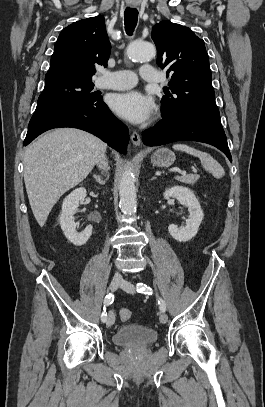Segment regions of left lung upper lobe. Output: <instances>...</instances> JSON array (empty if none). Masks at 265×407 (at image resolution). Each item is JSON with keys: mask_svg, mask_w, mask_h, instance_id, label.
Masks as SVG:
<instances>
[{"mask_svg": "<svg viewBox=\"0 0 265 407\" xmlns=\"http://www.w3.org/2000/svg\"><path fill=\"white\" fill-rule=\"evenodd\" d=\"M151 37L157 64L170 76L161 101L162 118H190L223 130L204 41L188 27L169 21L156 24Z\"/></svg>", "mask_w": 265, "mask_h": 407, "instance_id": "left-lung-upper-lobe-1", "label": "left lung upper lobe"}]
</instances>
